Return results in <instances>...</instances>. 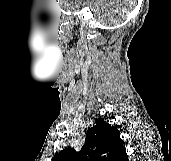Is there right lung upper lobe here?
I'll return each instance as SVG.
<instances>
[{"instance_id":"right-lung-upper-lobe-1","label":"right lung upper lobe","mask_w":171,"mask_h":161,"mask_svg":"<svg viewBox=\"0 0 171 161\" xmlns=\"http://www.w3.org/2000/svg\"><path fill=\"white\" fill-rule=\"evenodd\" d=\"M52 161H128V155L118 129L97 119L95 126L87 131L79 152L67 148L57 153Z\"/></svg>"}]
</instances>
